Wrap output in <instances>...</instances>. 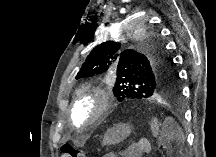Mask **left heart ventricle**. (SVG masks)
<instances>
[{"label":"left heart ventricle","instance_id":"left-heart-ventricle-1","mask_svg":"<svg viewBox=\"0 0 216 157\" xmlns=\"http://www.w3.org/2000/svg\"><path fill=\"white\" fill-rule=\"evenodd\" d=\"M94 109V103L92 98L82 99L74 113V120L76 125H82L91 116Z\"/></svg>","mask_w":216,"mask_h":157}]
</instances>
